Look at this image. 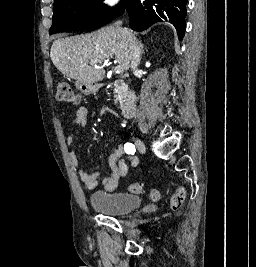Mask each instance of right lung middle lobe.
<instances>
[{"mask_svg":"<svg viewBox=\"0 0 256 267\" xmlns=\"http://www.w3.org/2000/svg\"><path fill=\"white\" fill-rule=\"evenodd\" d=\"M103 0H57L53 6V24L50 34L78 29L95 30L122 15L130 0L111 8Z\"/></svg>","mask_w":256,"mask_h":267,"instance_id":"1","label":"right lung middle lobe"}]
</instances>
